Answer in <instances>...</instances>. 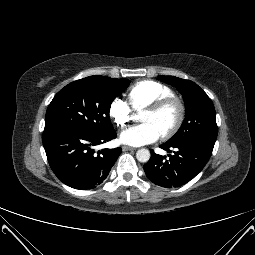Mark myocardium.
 Masks as SVG:
<instances>
[{
	"label": "myocardium",
	"mask_w": 255,
	"mask_h": 255,
	"mask_svg": "<svg viewBox=\"0 0 255 255\" xmlns=\"http://www.w3.org/2000/svg\"><path fill=\"white\" fill-rule=\"evenodd\" d=\"M172 105H174L177 108V117L175 122L172 124V126L169 127L166 131H164L161 134V137L164 139L173 136L180 129V127L182 126L184 122L186 108H185V104L183 100L179 98L178 96L171 95V96L163 97L153 102L152 104L148 105L145 108V111L158 113Z\"/></svg>",
	"instance_id": "myocardium-1"
}]
</instances>
